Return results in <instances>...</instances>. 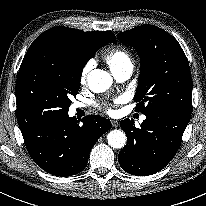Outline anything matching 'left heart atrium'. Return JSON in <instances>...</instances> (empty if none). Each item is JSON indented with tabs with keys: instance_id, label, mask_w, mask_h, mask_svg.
<instances>
[{
	"instance_id": "1",
	"label": "left heart atrium",
	"mask_w": 206,
	"mask_h": 206,
	"mask_svg": "<svg viewBox=\"0 0 206 206\" xmlns=\"http://www.w3.org/2000/svg\"><path fill=\"white\" fill-rule=\"evenodd\" d=\"M125 100L124 97H119L114 101V104H120ZM103 109L105 110V112H107L108 114H115L116 110L114 109V106L112 104H108L106 106L103 107Z\"/></svg>"
}]
</instances>
